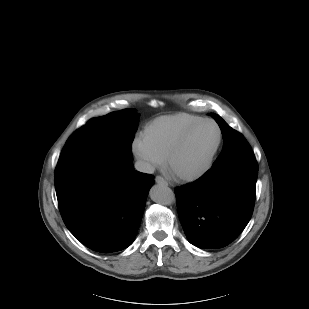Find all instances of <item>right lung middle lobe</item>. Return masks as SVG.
<instances>
[{"label": "right lung middle lobe", "instance_id": "dd1d6c3e", "mask_svg": "<svg viewBox=\"0 0 309 309\" xmlns=\"http://www.w3.org/2000/svg\"><path fill=\"white\" fill-rule=\"evenodd\" d=\"M135 109H125L93 118L67 141L57 163L59 175L73 161L96 149H115L131 154V145L138 127Z\"/></svg>", "mask_w": 309, "mask_h": 309}]
</instances>
